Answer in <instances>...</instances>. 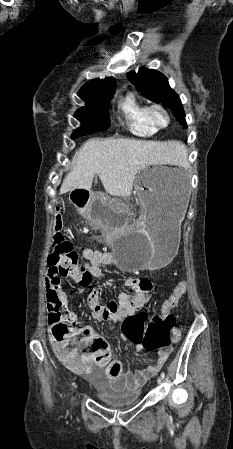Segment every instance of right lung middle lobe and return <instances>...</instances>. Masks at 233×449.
Returning a JSON list of instances; mask_svg holds the SVG:
<instances>
[{"instance_id": "obj_1", "label": "right lung middle lobe", "mask_w": 233, "mask_h": 449, "mask_svg": "<svg viewBox=\"0 0 233 449\" xmlns=\"http://www.w3.org/2000/svg\"><path fill=\"white\" fill-rule=\"evenodd\" d=\"M114 94L86 99V105L76 111L75 117L81 127L73 132L72 138L107 130L110 125L108 107Z\"/></svg>"}]
</instances>
